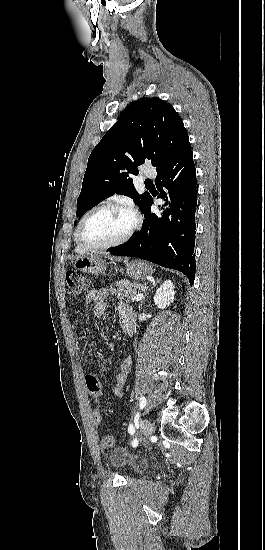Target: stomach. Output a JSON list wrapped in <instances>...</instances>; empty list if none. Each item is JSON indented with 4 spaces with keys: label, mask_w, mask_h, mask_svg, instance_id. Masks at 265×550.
Returning a JSON list of instances; mask_svg holds the SVG:
<instances>
[{
    "label": "stomach",
    "mask_w": 265,
    "mask_h": 550,
    "mask_svg": "<svg viewBox=\"0 0 265 550\" xmlns=\"http://www.w3.org/2000/svg\"><path fill=\"white\" fill-rule=\"evenodd\" d=\"M107 262L101 255L95 254L88 257H80L74 261V267L81 272L98 275L106 270ZM126 272L135 280L143 279L153 272L152 267L142 261L126 263Z\"/></svg>",
    "instance_id": "obj_1"
}]
</instances>
